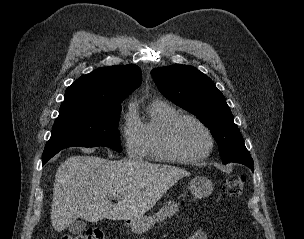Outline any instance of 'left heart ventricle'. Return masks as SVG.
Returning <instances> with one entry per match:
<instances>
[{"mask_svg":"<svg viewBox=\"0 0 304 239\" xmlns=\"http://www.w3.org/2000/svg\"><path fill=\"white\" fill-rule=\"evenodd\" d=\"M173 141L178 151L185 155L200 154L208 144L203 129L191 120H183L177 125Z\"/></svg>","mask_w":304,"mask_h":239,"instance_id":"1","label":"left heart ventricle"}]
</instances>
